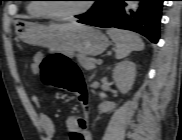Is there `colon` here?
<instances>
[{"mask_svg":"<svg viewBox=\"0 0 182 140\" xmlns=\"http://www.w3.org/2000/svg\"><path fill=\"white\" fill-rule=\"evenodd\" d=\"M43 80L55 87L72 93L81 110L77 118L78 129L70 134L71 140H85L89 99L86 82L80 68L69 58L58 56L46 58L40 66Z\"/></svg>","mask_w":182,"mask_h":140,"instance_id":"5ec220e1","label":"colon"}]
</instances>
